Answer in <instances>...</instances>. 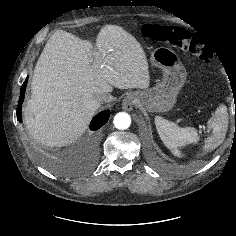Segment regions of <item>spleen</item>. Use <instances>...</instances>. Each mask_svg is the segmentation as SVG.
<instances>
[{
    "instance_id": "spleen-1",
    "label": "spleen",
    "mask_w": 236,
    "mask_h": 236,
    "mask_svg": "<svg viewBox=\"0 0 236 236\" xmlns=\"http://www.w3.org/2000/svg\"><path fill=\"white\" fill-rule=\"evenodd\" d=\"M155 125L162 142L175 155H180L179 148L199 141L198 132L194 127H179L161 116H155ZM208 125L213 129V133L205 139L204 153L216 149L225 139L228 126L226 106L217 108Z\"/></svg>"
}]
</instances>
